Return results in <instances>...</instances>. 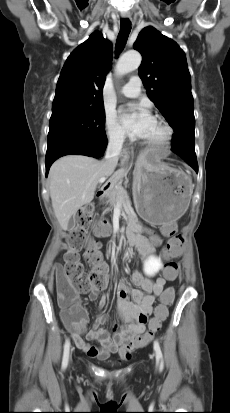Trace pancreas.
<instances>
[{
	"mask_svg": "<svg viewBox=\"0 0 230 413\" xmlns=\"http://www.w3.org/2000/svg\"><path fill=\"white\" fill-rule=\"evenodd\" d=\"M105 197L107 199L106 203L109 204L107 210H112L117 204H120L128 214L127 224L133 227L135 231L141 230L140 222L131 208L127 191L122 186L117 184L105 194Z\"/></svg>",
	"mask_w": 230,
	"mask_h": 413,
	"instance_id": "obj_1",
	"label": "pancreas"
}]
</instances>
